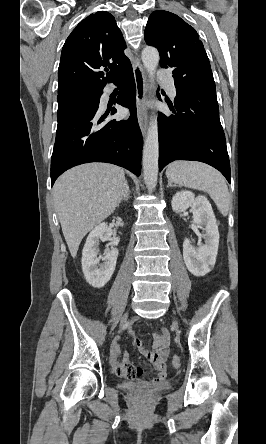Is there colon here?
I'll return each mask as SVG.
<instances>
[{
	"instance_id": "colon-1",
	"label": "colon",
	"mask_w": 266,
	"mask_h": 444,
	"mask_svg": "<svg viewBox=\"0 0 266 444\" xmlns=\"http://www.w3.org/2000/svg\"><path fill=\"white\" fill-rule=\"evenodd\" d=\"M171 364L173 367H179L180 359L177 356H173L171 359Z\"/></svg>"
}]
</instances>
